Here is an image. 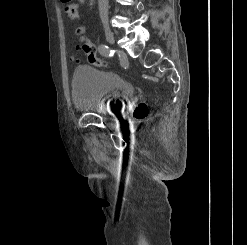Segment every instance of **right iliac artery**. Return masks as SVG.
Returning a JSON list of instances; mask_svg holds the SVG:
<instances>
[{
    "mask_svg": "<svg viewBox=\"0 0 247 245\" xmlns=\"http://www.w3.org/2000/svg\"><path fill=\"white\" fill-rule=\"evenodd\" d=\"M98 51L101 55L105 57H111L113 56V52L109 49L107 45L101 44L98 47Z\"/></svg>",
    "mask_w": 247,
    "mask_h": 245,
    "instance_id": "obj_1",
    "label": "right iliac artery"
}]
</instances>
